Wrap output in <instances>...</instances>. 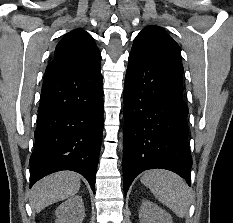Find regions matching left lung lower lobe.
Listing matches in <instances>:
<instances>
[{
  "instance_id": "left-lung-lower-lobe-1",
  "label": "left lung lower lobe",
  "mask_w": 233,
  "mask_h": 223,
  "mask_svg": "<svg viewBox=\"0 0 233 223\" xmlns=\"http://www.w3.org/2000/svg\"><path fill=\"white\" fill-rule=\"evenodd\" d=\"M183 72L133 44L124 88L125 196L134 178L148 169L173 171L191 185Z\"/></svg>"
}]
</instances>
